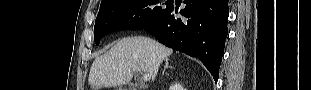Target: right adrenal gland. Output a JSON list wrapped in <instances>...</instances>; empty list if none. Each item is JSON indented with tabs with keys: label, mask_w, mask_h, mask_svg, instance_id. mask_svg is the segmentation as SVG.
<instances>
[{
	"label": "right adrenal gland",
	"mask_w": 311,
	"mask_h": 90,
	"mask_svg": "<svg viewBox=\"0 0 311 90\" xmlns=\"http://www.w3.org/2000/svg\"><path fill=\"white\" fill-rule=\"evenodd\" d=\"M168 68H171V66H170L169 63H168V60H165V66H164V69H163V73H162V74H164L165 71H166V69H168Z\"/></svg>",
	"instance_id": "right-adrenal-gland-1"
}]
</instances>
